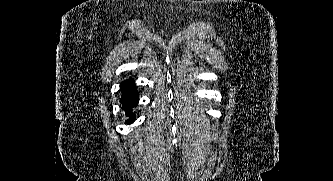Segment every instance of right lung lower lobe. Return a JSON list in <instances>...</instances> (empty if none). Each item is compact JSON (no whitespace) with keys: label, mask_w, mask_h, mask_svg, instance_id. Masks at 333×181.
<instances>
[{"label":"right lung lower lobe","mask_w":333,"mask_h":181,"mask_svg":"<svg viewBox=\"0 0 333 181\" xmlns=\"http://www.w3.org/2000/svg\"><path fill=\"white\" fill-rule=\"evenodd\" d=\"M120 89L122 91L120 103L122 105V109L126 111V115L129 117L126 123H132L135 119V115L131 113V108L136 106L138 103V93L135 89L133 80H125L121 84Z\"/></svg>","instance_id":"right-lung-lower-lobe-1"}]
</instances>
